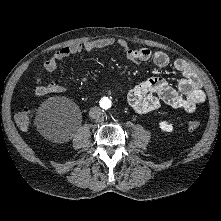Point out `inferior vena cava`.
<instances>
[{"mask_svg": "<svg viewBox=\"0 0 221 221\" xmlns=\"http://www.w3.org/2000/svg\"><path fill=\"white\" fill-rule=\"evenodd\" d=\"M102 114V110L95 106V107H92L90 110H89V116L92 118V119H97L100 117V115Z\"/></svg>", "mask_w": 221, "mask_h": 221, "instance_id": "602c4592", "label": "inferior vena cava"}]
</instances>
